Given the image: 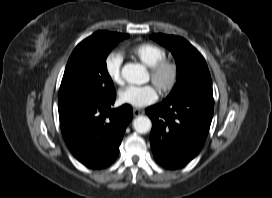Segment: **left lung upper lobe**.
<instances>
[{
  "label": "left lung upper lobe",
  "instance_id": "obj_1",
  "mask_svg": "<svg viewBox=\"0 0 272 198\" xmlns=\"http://www.w3.org/2000/svg\"><path fill=\"white\" fill-rule=\"evenodd\" d=\"M152 39L168 48L177 65V83L165 100L187 95L212 96V81L205 59L187 40L174 35L153 34Z\"/></svg>",
  "mask_w": 272,
  "mask_h": 198
}]
</instances>
